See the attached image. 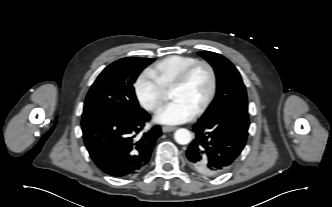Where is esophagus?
Returning a JSON list of instances; mask_svg holds the SVG:
<instances>
[{
    "label": "esophagus",
    "instance_id": "1",
    "mask_svg": "<svg viewBox=\"0 0 332 207\" xmlns=\"http://www.w3.org/2000/svg\"><path fill=\"white\" fill-rule=\"evenodd\" d=\"M175 129H176V127H173V126H163L162 127V131L164 133L174 131Z\"/></svg>",
    "mask_w": 332,
    "mask_h": 207
}]
</instances>
